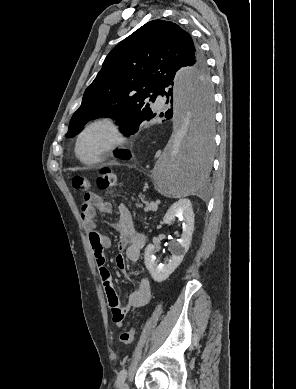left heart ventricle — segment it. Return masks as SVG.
<instances>
[{"mask_svg": "<svg viewBox=\"0 0 296 389\" xmlns=\"http://www.w3.org/2000/svg\"><path fill=\"white\" fill-rule=\"evenodd\" d=\"M108 133L102 128L88 132L80 144V154L86 159L95 158L108 141Z\"/></svg>", "mask_w": 296, "mask_h": 389, "instance_id": "1", "label": "left heart ventricle"}]
</instances>
